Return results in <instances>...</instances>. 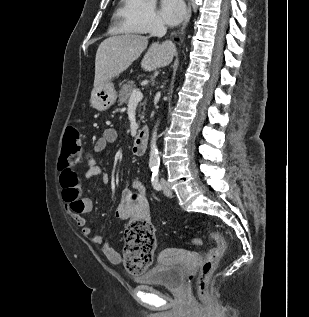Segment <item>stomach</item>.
<instances>
[{"label":"stomach","instance_id":"stomach-1","mask_svg":"<svg viewBox=\"0 0 309 317\" xmlns=\"http://www.w3.org/2000/svg\"><path fill=\"white\" fill-rule=\"evenodd\" d=\"M116 99L117 94L114 84L111 81H107L101 86L93 89L90 103L93 108L104 111L114 105Z\"/></svg>","mask_w":309,"mask_h":317}]
</instances>
